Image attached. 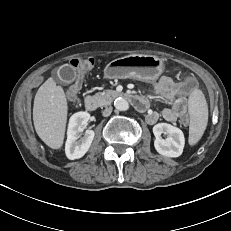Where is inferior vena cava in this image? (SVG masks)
Here are the masks:
<instances>
[{
    "label": "inferior vena cava",
    "instance_id": "1",
    "mask_svg": "<svg viewBox=\"0 0 231 231\" xmlns=\"http://www.w3.org/2000/svg\"><path fill=\"white\" fill-rule=\"evenodd\" d=\"M112 112V107H106L105 110L103 111V116L107 117L111 114Z\"/></svg>",
    "mask_w": 231,
    "mask_h": 231
}]
</instances>
